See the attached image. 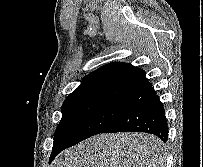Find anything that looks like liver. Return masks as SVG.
<instances>
[{
  "label": "liver",
  "instance_id": "obj_1",
  "mask_svg": "<svg viewBox=\"0 0 203 167\" xmlns=\"http://www.w3.org/2000/svg\"><path fill=\"white\" fill-rule=\"evenodd\" d=\"M166 146L144 133L99 134L63 151L51 167H165Z\"/></svg>",
  "mask_w": 203,
  "mask_h": 167
}]
</instances>
